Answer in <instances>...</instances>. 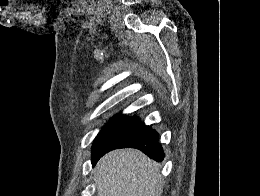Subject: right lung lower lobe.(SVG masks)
<instances>
[{"instance_id": "98d812e1", "label": "right lung lower lobe", "mask_w": 260, "mask_h": 196, "mask_svg": "<svg viewBox=\"0 0 260 196\" xmlns=\"http://www.w3.org/2000/svg\"><path fill=\"white\" fill-rule=\"evenodd\" d=\"M119 148L139 149L143 153L147 154L150 158L158 162H162L165 156L161 145L158 143V133L155 130H152L150 127H146L116 147L103 151H92L93 164H95L107 152Z\"/></svg>"}]
</instances>
